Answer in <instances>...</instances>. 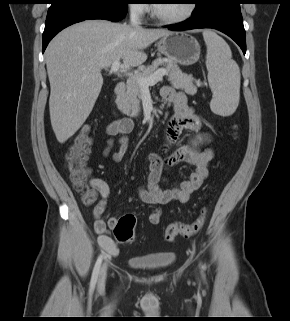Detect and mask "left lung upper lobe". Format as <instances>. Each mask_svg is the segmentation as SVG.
Masks as SVG:
<instances>
[{"label":"left lung upper lobe","mask_w":290,"mask_h":321,"mask_svg":"<svg viewBox=\"0 0 290 321\" xmlns=\"http://www.w3.org/2000/svg\"><path fill=\"white\" fill-rule=\"evenodd\" d=\"M193 1H194L193 3L196 4V8L194 11H197L203 8L204 6H206L207 4H209L212 0H193Z\"/></svg>","instance_id":"obj_1"}]
</instances>
